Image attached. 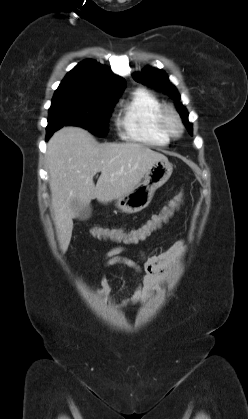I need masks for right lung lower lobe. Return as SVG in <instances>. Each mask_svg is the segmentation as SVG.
I'll use <instances>...</instances> for the list:
<instances>
[{
	"mask_svg": "<svg viewBox=\"0 0 248 419\" xmlns=\"http://www.w3.org/2000/svg\"><path fill=\"white\" fill-rule=\"evenodd\" d=\"M54 132H47V136L46 139L48 140L50 138V136L53 134Z\"/></svg>",
	"mask_w": 248,
	"mask_h": 419,
	"instance_id": "right-lung-lower-lobe-1",
	"label": "right lung lower lobe"
}]
</instances>
